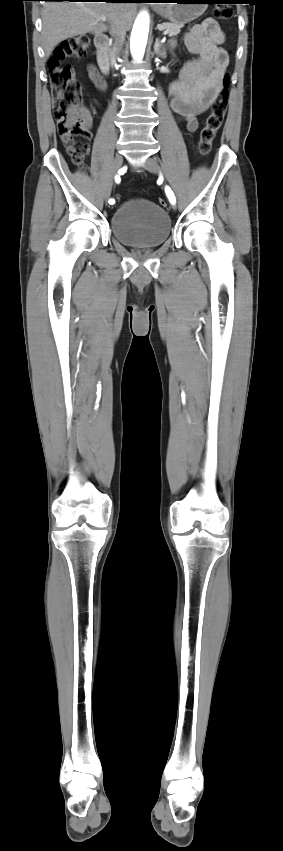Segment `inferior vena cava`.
I'll list each match as a JSON object with an SVG mask.
<instances>
[{"label": "inferior vena cava", "mask_w": 283, "mask_h": 851, "mask_svg": "<svg viewBox=\"0 0 283 851\" xmlns=\"http://www.w3.org/2000/svg\"><path fill=\"white\" fill-rule=\"evenodd\" d=\"M113 34L115 35V41L111 50L110 58L114 65L125 41L126 31L123 28H115L113 30Z\"/></svg>", "instance_id": "602c4592"}]
</instances>
